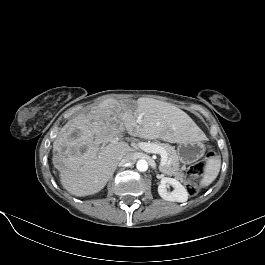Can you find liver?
Returning a JSON list of instances; mask_svg holds the SVG:
<instances>
[{"label": "liver", "instance_id": "liver-1", "mask_svg": "<svg viewBox=\"0 0 265 265\" xmlns=\"http://www.w3.org/2000/svg\"><path fill=\"white\" fill-rule=\"evenodd\" d=\"M137 119H141L139 126ZM134 126L138 135L149 139L171 143L199 140L200 129L172 104L140 98L132 111L126 101L106 99L69 120L53 142L52 162L64 189L78 197L101 191L120 159L133 151L128 143L115 140Z\"/></svg>", "mask_w": 265, "mask_h": 265}]
</instances>
